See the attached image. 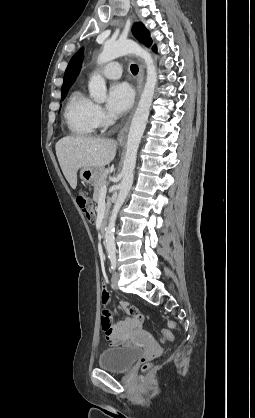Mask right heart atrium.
I'll return each mask as SVG.
<instances>
[{"instance_id": "d8ad5b80", "label": "right heart atrium", "mask_w": 255, "mask_h": 418, "mask_svg": "<svg viewBox=\"0 0 255 418\" xmlns=\"http://www.w3.org/2000/svg\"><path fill=\"white\" fill-rule=\"evenodd\" d=\"M94 119L97 126H101L106 122V116L102 108L97 104L94 106Z\"/></svg>"}]
</instances>
